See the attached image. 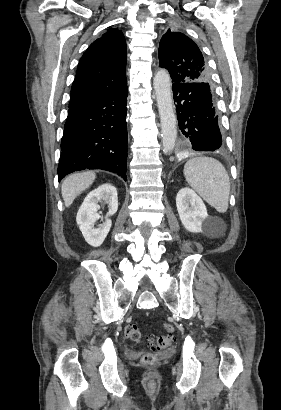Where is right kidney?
Returning <instances> with one entry per match:
<instances>
[{
    "label": "right kidney",
    "instance_id": "ca27d5eb",
    "mask_svg": "<svg viewBox=\"0 0 281 410\" xmlns=\"http://www.w3.org/2000/svg\"><path fill=\"white\" fill-rule=\"evenodd\" d=\"M100 202H105L108 205L109 211L105 221L98 228H94L95 222L101 217L97 212L99 209L98 203ZM117 209V190L113 185L109 183L102 184L87 194L78 210L76 221L88 244L98 247L104 242L112 225L109 217L114 215Z\"/></svg>",
    "mask_w": 281,
    "mask_h": 410
}]
</instances>
